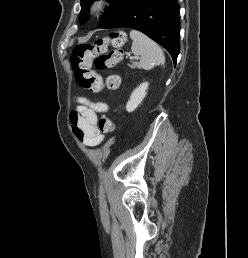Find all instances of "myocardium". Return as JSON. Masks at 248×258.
<instances>
[{
	"mask_svg": "<svg viewBox=\"0 0 248 258\" xmlns=\"http://www.w3.org/2000/svg\"><path fill=\"white\" fill-rule=\"evenodd\" d=\"M109 6L108 0H93L88 8V12L91 15L102 13Z\"/></svg>",
	"mask_w": 248,
	"mask_h": 258,
	"instance_id": "1",
	"label": "myocardium"
}]
</instances>
